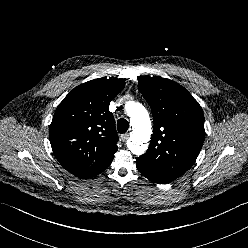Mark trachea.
<instances>
[{
  "label": "trachea",
  "instance_id": "1",
  "mask_svg": "<svg viewBox=\"0 0 248 248\" xmlns=\"http://www.w3.org/2000/svg\"><path fill=\"white\" fill-rule=\"evenodd\" d=\"M117 128L119 133H125L129 128L128 121L124 118H120L117 122Z\"/></svg>",
  "mask_w": 248,
  "mask_h": 248
}]
</instances>
